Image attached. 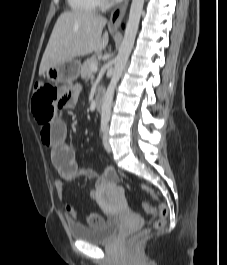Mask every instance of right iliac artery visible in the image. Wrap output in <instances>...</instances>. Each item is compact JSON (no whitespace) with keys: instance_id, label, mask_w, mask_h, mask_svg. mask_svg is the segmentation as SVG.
<instances>
[{"instance_id":"82829eb1","label":"right iliac artery","mask_w":227,"mask_h":265,"mask_svg":"<svg viewBox=\"0 0 227 265\" xmlns=\"http://www.w3.org/2000/svg\"><path fill=\"white\" fill-rule=\"evenodd\" d=\"M106 128H107V123L102 122L101 123V127H100L101 133H105Z\"/></svg>"}]
</instances>
